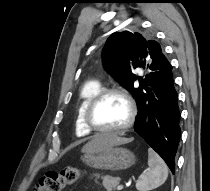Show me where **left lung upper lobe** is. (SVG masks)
I'll list each match as a JSON object with an SVG mask.
<instances>
[{"instance_id": "1", "label": "left lung upper lobe", "mask_w": 210, "mask_h": 191, "mask_svg": "<svg viewBox=\"0 0 210 191\" xmlns=\"http://www.w3.org/2000/svg\"><path fill=\"white\" fill-rule=\"evenodd\" d=\"M102 60L105 69L131 92L137 102L148 85L149 77L158 71L166 57L158 42L126 30L115 32L107 39ZM137 67L143 68L147 74L136 76L133 70ZM135 80H139V87H134Z\"/></svg>"}]
</instances>
